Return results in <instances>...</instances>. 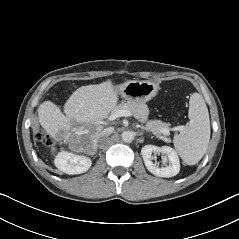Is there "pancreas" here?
<instances>
[{
    "instance_id": "1",
    "label": "pancreas",
    "mask_w": 239,
    "mask_h": 239,
    "mask_svg": "<svg viewBox=\"0 0 239 239\" xmlns=\"http://www.w3.org/2000/svg\"><path fill=\"white\" fill-rule=\"evenodd\" d=\"M117 110L130 111L140 123H145L146 129L152 132L156 137H163L166 141H170V139L167 138L168 134L163 133V129L169 130V124L160 120H148L149 109L145 103L123 102L116 106L115 111Z\"/></svg>"
}]
</instances>
